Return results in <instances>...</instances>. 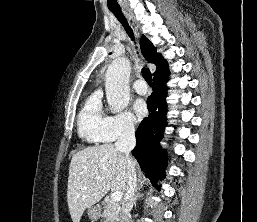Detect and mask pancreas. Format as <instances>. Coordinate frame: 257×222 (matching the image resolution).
Segmentation results:
<instances>
[{
    "mask_svg": "<svg viewBox=\"0 0 257 222\" xmlns=\"http://www.w3.org/2000/svg\"><path fill=\"white\" fill-rule=\"evenodd\" d=\"M103 208L104 211L101 216L104 218V222L119 221L120 205L117 202H113L111 200L105 201L103 203Z\"/></svg>",
    "mask_w": 257,
    "mask_h": 222,
    "instance_id": "pancreas-1",
    "label": "pancreas"
}]
</instances>
